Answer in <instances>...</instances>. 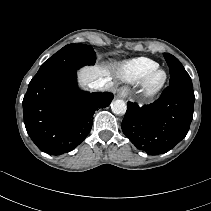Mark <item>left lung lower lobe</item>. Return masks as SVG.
I'll use <instances>...</instances> for the list:
<instances>
[{"label":"left lung lower lobe","mask_w":211,"mask_h":211,"mask_svg":"<svg viewBox=\"0 0 211 211\" xmlns=\"http://www.w3.org/2000/svg\"><path fill=\"white\" fill-rule=\"evenodd\" d=\"M193 86L169 85L149 106L128 102L123 133L150 155L166 153L188 133L193 118Z\"/></svg>","instance_id":"left-lung-lower-lobe-1"}]
</instances>
